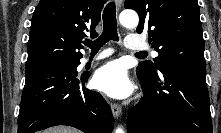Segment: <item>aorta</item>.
Returning <instances> with one entry per match:
<instances>
[{
	"instance_id": "aorta-1",
	"label": "aorta",
	"mask_w": 221,
	"mask_h": 133,
	"mask_svg": "<svg viewBox=\"0 0 221 133\" xmlns=\"http://www.w3.org/2000/svg\"><path fill=\"white\" fill-rule=\"evenodd\" d=\"M120 23L127 28H135L139 23V17L134 11H123L119 16ZM115 133H125L121 127H118Z\"/></svg>"
}]
</instances>
